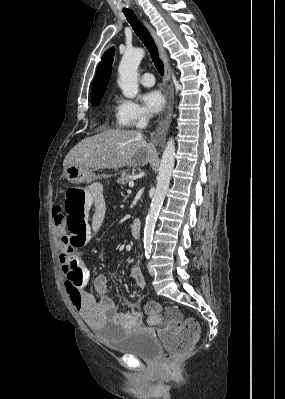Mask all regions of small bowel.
<instances>
[{"label":"small bowel","instance_id":"obj_1","mask_svg":"<svg viewBox=\"0 0 285 399\" xmlns=\"http://www.w3.org/2000/svg\"><path fill=\"white\" fill-rule=\"evenodd\" d=\"M83 196L86 200L84 205L85 208L93 212L90 222L92 231L96 233L101 229L106 216V204L102 186L100 184L91 185L83 192ZM53 214L55 217L59 218L57 227L60 235V242L64 245L68 237L65 233L63 211L60 208H55ZM72 276L75 281H80L83 287L81 304L79 306L73 305L87 324L110 323L116 326L120 332H127L132 329H145L143 314L139 310V297L136 301H124L123 305L127 308V311L119 312L114 300L109 294L105 275L98 276L95 279L94 288L98 295L97 298L85 288V282L90 277V271L87 268L78 263L72 270ZM130 276L138 287H145L146 281L140 267L134 266L130 271Z\"/></svg>","mask_w":285,"mask_h":399}]
</instances>
